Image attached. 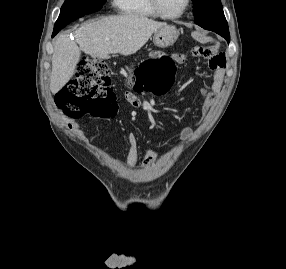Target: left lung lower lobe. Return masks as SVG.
I'll return each instance as SVG.
<instances>
[{"label":"left lung lower lobe","mask_w":286,"mask_h":269,"mask_svg":"<svg viewBox=\"0 0 286 269\" xmlns=\"http://www.w3.org/2000/svg\"><path fill=\"white\" fill-rule=\"evenodd\" d=\"M218 33L219 35H221L222 37H224L227 42L229 43L230 42V34H229V31H224V32H216Z\"/></svg>","instance_id":"0a47b994"}]
</instances>
